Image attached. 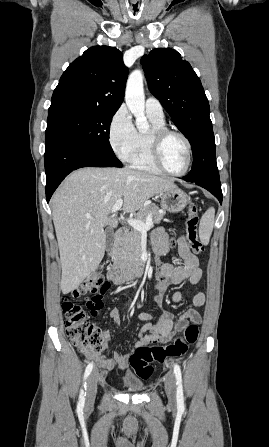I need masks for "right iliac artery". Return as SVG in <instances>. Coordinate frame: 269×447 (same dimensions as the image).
I'll return each mask as SVG.
<instances>
[{
	"mask_svg": "<svg viewBox=\"0 0 269 447\" xmlns=\"http://www.w3.org/2000/svg\"><path fill=\"white\" fill-rule=\"evenodd\" d=\"M93 369V363H90L86 370H85V374H84V380L87 379V377L89 376V374L91 373ZM84 388L86 390V382L84 384ZM85 396H86V392H84V389H81L80 391V395H79V402H78V408L82 409L84 407V403H85Z\"/></svg>",
	"mask_w": 269,
	"mask_h": 447,
	"instance_id": "82829eb1",
	"label": "right iliac artery"
}]
</instances>
